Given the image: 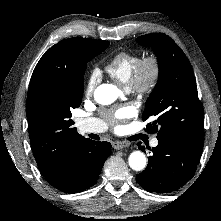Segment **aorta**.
Segmentation results:
<instances>
[{
  "mask_svg": "<svg viewBox=\"0 0 221 221\" xmlns=\"http://www.w3.org/2000/svg\"><path fill=\"white\" fill-rule=\"evenodd\" d=\"M119 89L113 84H102L94 93L95 100L102 105L113 103L119 96ZM129 166L135 171H141L146 166L145 154L141 151H133L129 156Z\"/></svg>",
  "mask_w": 221,
  "mask_h": 221,
  "instance_id": "obj_1",
  "label": "aorta"
}]
</instances>
